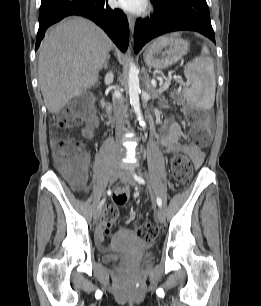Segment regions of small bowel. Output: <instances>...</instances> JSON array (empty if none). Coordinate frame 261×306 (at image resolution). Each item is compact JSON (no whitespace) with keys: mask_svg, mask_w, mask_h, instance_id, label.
Returning <instances> with one entry per match:
<instances>
[{"mask_svg":"<svg viewBox=\"0 0 261 306\" xmlns=\"http://www.w3.org/2000/svg\"><path fill=\"white\" fill-rule=\"evenodd\" d=\"M182 128L176 122L166 121L161 134V144L168 152H186L192 159L196 167H200L204 161V152L196 147L182 144L180 138ZM85 166L89 161V156L84 157Z\"/></svg>","mask_w":261,"mask_h":306,"instance_id":"obj_1","label":"small bowel"}]
</instances>
